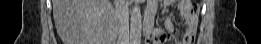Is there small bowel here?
<instances>
[{"label":"small bowel","mask_w":261,"mask_h":44,"mask_svg":"<svg viewBox=\"0 0 261 44\" xmlns=\"http://www.w3.org/2000/svg\"><path fill=\"white\" fill-rule=\"evenodd\" d=\"M165 6H169L172 4V1H163ZM158 2L151 1L147 5L146 15L150 16L153 21L156 15ZM181 14L183 15L186 27L182 37L183 44H193L196 37L197 25H198V11L197 8L192 4L191 6H181L180 7ZM175 32L174 24L172 18L167 16L164 21L163 27H155L152 26V31L150 35L146 38V43L148 44H163L167 41L173 39Z\"/></svg>","instance_id":"obj_1"}]
</instances>
